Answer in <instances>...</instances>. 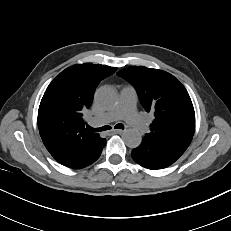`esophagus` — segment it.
<instances>
[{"label": "esophagus", "mask_w": 231, "mask_h": 231, "mask_svg": "<svg viewBox=\"0 0 231 231\" xmlns=\"http://www.w3.org/2000/svg\"><path fill=\"white\" fill-rule=\"evenodd\" d=\"M111 132L114 134H122L124 131L121 129H113Z\"/></svg>", "instance_id": "obj_1"}]
</instances>
